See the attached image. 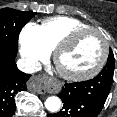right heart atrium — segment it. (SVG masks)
I'll return each mask as SVG.
<instances>
[{
    "instance_id": "1",
    "label": "right heart atrium",
    "mask_w": 117,
    "mask_h": 117,
    "mask_svg": "<svg viewBox=\"0 0 117 117\" xmlns=\"http://www.w3.org/2000/svg\"><path fill=\"white\" fill-rule=\"evenodd\" d=\"M20 54L29 68H35L38 64L44 61L50 50L43 43L39 26L34 23L27 24L19 35Z\"/></svg>"
}]
</instances>
